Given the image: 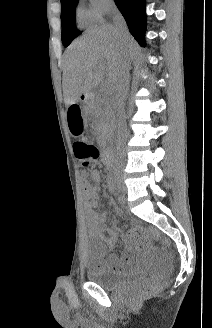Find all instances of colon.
Returning <instances> with one entry per match:
<instances>
[{
  "label": "colon",
  "instance_id": "colon-1",
  "mask_svg": "<svg viewBox=\"0 0 212 328\" xmlns=\"http://www.w3.org/2000/svg\"><path fill=\"white\" fill-rule=\"evenodd\" d=\"M73 149H74L75 157L84 166L89 165L93 160H95L99 156V150L97 149V147L83 138H80L78 140L76 139L74 141ZM153 289H154L153 284H147L142 289V294H148L152 292Z\"/></svg>",
  "mask_w": 212,
  "mask_h": 328
}]
</instances>
